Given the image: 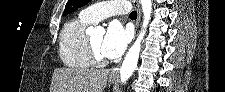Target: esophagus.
<instances>
[{
	"instance_id": "34e87169",
	"label": "esophagus",
	"mask_w": 225,
	"mask_h": 92,
	"mask_svg": "<svg viewBox=\"0 0 225 92\" xmlns=\"http://www.w3.org/2000/svg\"><path fill=\"white\" fill-rule=\"evenodd\" d=\"M133 5L136 7L137 9V22H136V28L138 29L139 23H140V19H141V10H140V5L138 0H133ZM119 69H120V64L117 65L115 68L112 69L110 75L111 76H117L119 73Z\"/></svg>"
}]
</instances>
